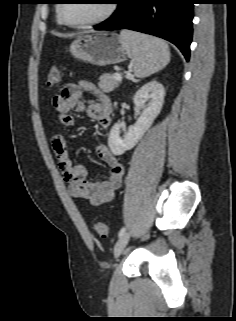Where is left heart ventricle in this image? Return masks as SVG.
<instances>
[{"instance_id": "left-heart-ventricle-1", "label": "left heart ventricle", "mask_w": 236, "mask_h": 321, "mask_svg": "<svg viewBox=\"0 0 236 321\" xmlns=\"http://www.w3.org/2000/svg\"><path fill=\"white\" fill-rule=\"evenodd\" d=\"M106 9V0H72L64 4L63 14L71 22H85L100 17Z\"/></svg>"}]
</instances>
